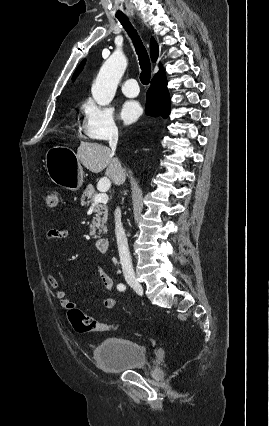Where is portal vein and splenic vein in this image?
<instances>
[{
  "label": "portal vein and splenic vein",
  "mask_w": 269,
  "mask_h": 426,
  "mask_svg": "<svg viewBox=\"0 0 269 426\" xmlns=\"http://www.w3.org/2000/svg\"><path fill=\"white\" fill-rule=\"evenodd\" d=\"M108 188H109V185L105 187L101 193L97 194L92 204L106 203L109 199L108 195L105 193Z\"/></svg>",
  "instance_id": "1"
}]
</instances>
